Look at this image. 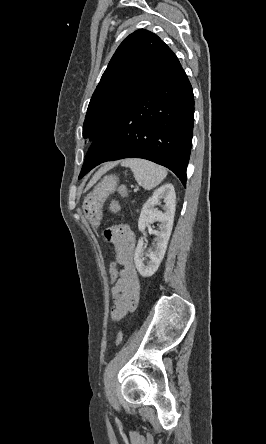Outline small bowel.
<instances>
[{"label": "small bowel", "mask_w": 266, "mask_h": 444, "mask_svg": "<svg viewBox=\"0 0 266 444\" xmlns=\"http://www.w3.org/2000/svg\"><path fill=\"white\" fill-rule=\"evenodd\" d=\"M104 236L114 248L115 260L122 266L112 289L114 306L111 316L114 321H119L136 308L140 296V280L134 266L135 237L124 225L107 229Z\"/></svg>", "instance_id": "c3829d8e"}]
</instances>
